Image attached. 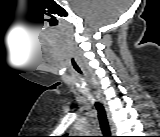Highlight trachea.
Listing matches in <instances>:
<instances>
[{"label":"trachea","mask_w":160,"mask_h":137,"mask_svg":"<svg viewBox=\"0 0 160 137\" xmlns=\"http://www.w3.org/2000/svg\"><path fill=\"white\" fill-rule=\"evenodd\" d=\"M73 65H74L75 69L78 72H80L79 67L75 63H73ZM95 107L98 111V118H99V122H100V127H101L102 133L104 135L103 137H112L111 133H110V128H109V123L107 120L106 112H105L103 105L100 104L99 102H96Z\"/></svg>","instance_id":"obj_1"}]
</instances>
